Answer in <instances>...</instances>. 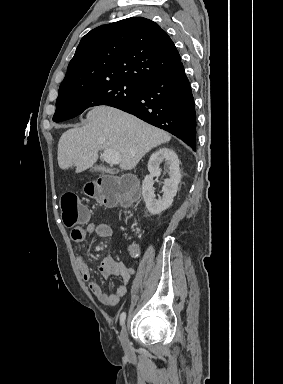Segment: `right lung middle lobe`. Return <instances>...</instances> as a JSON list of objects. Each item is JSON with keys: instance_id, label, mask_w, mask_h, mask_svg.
<instances>
[{"instance_id": "right-lung-middle-lobe-1", "label": "right lung middle lobe", "mask_w": 283, "mask_h": 384, "mask_svg": "<svg viewBox=\"0 0 283 384\" xmlns=\"http://www.w3.org/2000/svg\"><path fill=\"white\" fill-rule=\"evenodd\" d=\"M140 84L126 80H110L100 83L59 88L53 121L74 118L85 109L96 105H116L137 97Z\"/></svg>"}]
</instances>
